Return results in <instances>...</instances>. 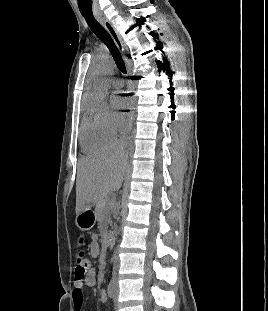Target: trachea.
Masks as SVG:
<instances>
[{
    "label": "trachea",
    "instance_id": "trachea-1",
    "mask_svg": "<svg viewBox=\"0 0 268 311\" xmlns=\"http://www.w3.org/2000/svg\"><path fill=\"white\" fill-rule=\"evenodd\" d=\"M92 32L108 47L118 69L126 74V66L122 55L110 34L102 27L93 15L82 14Z\"/></svg>",
    "mask_w": 268,
    "mask_h": 311
}]
</instances>
